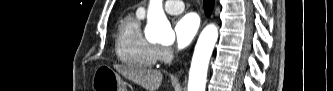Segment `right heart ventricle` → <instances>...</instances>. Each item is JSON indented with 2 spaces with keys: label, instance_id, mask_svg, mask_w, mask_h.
<instances>
[{
  "label": "right heart ventricle",
  "instance_id": "1",
  "mask_svg": "<svg viewBox=\"0 0 333 91\" xmlns=\"http://www.w3.org/2000/svg\"><path fill=\"white\" fill-rule=\"evenodd\" d=\"M142 14L124 17L117 28L115 46L119 60L133 68H151L157 62V47L141 32Z\"/></svg>",
  "mask_w": 333,
  "mask_h": 91
}]
</instances>
